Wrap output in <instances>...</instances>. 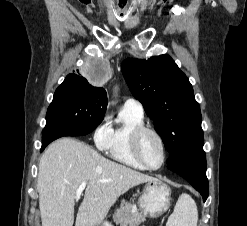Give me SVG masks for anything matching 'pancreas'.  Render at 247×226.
<instances>
[{
	"mask_svg": "<svg viewBox=\"0 0 247 226\" xmlns=\"http://www.w3.org/2000/svg\"><path fill=\"white\" fill-rule=\"evenodd\" d=\"M113 220L122 226L132 225L145 220L144 215L138 212L136 206L131 202L122 200L120 208L113 214Z\"/></svg>",
	"mask_w": 247,
	"mask_h": 226,
	"instance_id": "1",
	"label": "pancreas"
}]
</instances>
